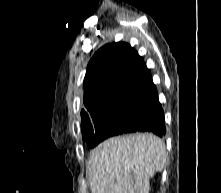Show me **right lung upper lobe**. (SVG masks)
<instances>
[{
  "mask_svg": "<svg viewBox=\"0 0 221 193\" xmlns=\"http://www.w3.org/2000/svg\"><path fill=\"white\" fill-rule=\"evenodd\" d=\"M157 94L142 57L124 42L107 44L90 60L84 79V103L90 115L124 99L151 101ZM82 119L88 114L81 113Z\"/></svg>",
  "mask_w": 221,
  "mask_h": 193,
  "instance_id": "cb5924a9",
  "label": "right lung upper lobe"
}]
</instances>
